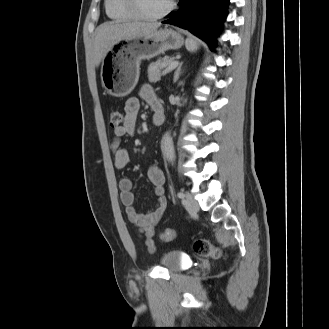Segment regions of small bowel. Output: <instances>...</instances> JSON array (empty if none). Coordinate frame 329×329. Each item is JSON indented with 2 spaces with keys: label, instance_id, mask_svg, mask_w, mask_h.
Listing matches in <instances>:
<instances>
[{
  "label": "small bowel",
  "instance_id": "1",
  "mask_svg": "<svg viewBox=\"0 0 329 329\" xmlns=\"http://www.w3.org/2000/svg\"><path fill=\"white\" fill-rule=\"evenodd\" d=\"M140 96L151 108L161 107V103L152 89L145 86L140 91ZM140 111V101L136 97L129 98L124 106V123L120 127L113 129V140L111 149L113 151V162L117 169H123L129 162V154L121 147V138L131 136L135 133L138 114ZM147 176L154 187V193L158 198L156 207L147 213H139L134 206L133 182L130 178L123 177L119 180L120 200L125 206V213L131 223L140 230V235L144 239L149 251L155 250L153 240L154 229L166 208L165 177L159 165L154 164L148 168Z\"/></svg>",
  "mask_w": 329,
  "mask_h": 329
}]
</instances>
